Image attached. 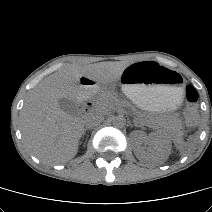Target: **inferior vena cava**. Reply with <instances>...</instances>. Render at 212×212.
Returning <instances> with one entry per match:
<instances>
[{
	"mask_svg": "<svg viewBox=\"0 0 212 212\" xmlns=\"http://www.w3.org/2000/svg\"><path fill=\"white\" fill-rule=\"evenodd\" d=\"M104 120V116L100 111H91L85 114L84 124L87 128L97 126Z\"/></svg>",
	"mask_w": 212,
	"mask_h": 212,
	"instance_id": "obj_1",
	"label": "inferior vena cava"
}]
</instances>
